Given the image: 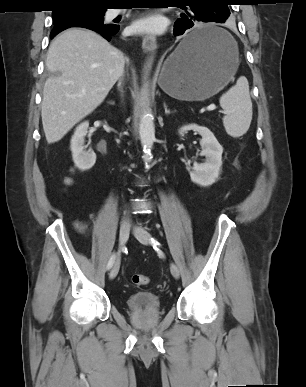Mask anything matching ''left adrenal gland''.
<instances>
[{
    "mask_svg": "<svg viewBox=\"0 0 306 387\" xmlns=\"http://www.w3.org/2000/svg\"><path fill=\"white\" fill-rule=\"evenodd\" d=\"M163 106H164V110H165V114L166 115H169V114H171V113H175L176 112V110H169L168 108H167V105H166V103L164 102L163 103Z\"/></svg>",
    "mask_w": 306,
    "mask_h": 387,
    "instance_id": "obj_1",
    "label": "left adrenal gland"
}]
</instances>
